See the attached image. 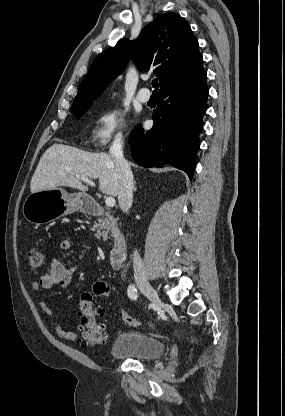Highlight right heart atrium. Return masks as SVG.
<instances>
[{
  "label": "right heart atrium",
  "mask_w": 285,
  "mask_h": 416,
  "mask_svg": "<svg viewBox=\"0 0 285 416\" xmlns=\"http://www.w3.org/2000/svg\"><path fill=\"white\" fill-rule=\"evenodd\" d=\"M93 122L91 142L96 148H105L113 140L122 138L125 119L123 112L117 107L99 110Z\"/></svg>",
  "instance_id": "1"
}]
</instances>
